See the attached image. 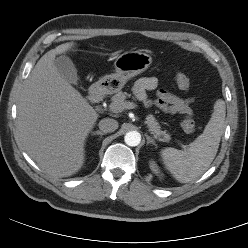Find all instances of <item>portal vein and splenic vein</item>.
<instances>
[{
    "mask_svg": "<svg viewBox=\"0 0 248 248\" xmlns=\"http://www.w3.org/2000/svg\"><path fill=\"white\" fill-rule=\"evenodd\" d=\"M124 108H126V109H134V108H136V104L133 103V102H126V103H124L122 110H123ZM110 109H111L112 111H114V112H121L120 108H117L116 106H114V105H112V104H111V106H110Z\"/></svg>",
    "mask_w": 248,
    "mask_h": 248,
    "instance_id": "obj_1",
    "label": "portal vein and splenic vein"
}]
</instances>
